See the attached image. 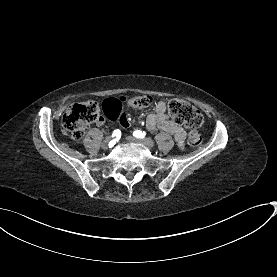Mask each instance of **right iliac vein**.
Wrapping results in <instances>:
<instances>
[{"label":"right iliac vein","instance_id":"1","mask_svg":"<svg viewBox=\"0 0 277 277\" xmlns=\"http://www.w3.org/2000/svg\"><path fill=\"white\" fill-rule=\"evenodd\" d=\"M101 146L104 150L108 149L109 148V141L108 140L104 141Z\"/></svg>","mask_w":277,"mask_h":277}]
</instances>
